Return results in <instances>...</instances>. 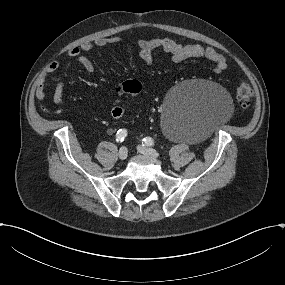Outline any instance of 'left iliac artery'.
I'll list each match as a JSON object with an SVG mask.
<instances>
[{
	"mask_svg": "<svg viewBox=\"0 0 285 285\" xmlns=\"http://www.w3.org/2000/svg\"><path fill=\"white\" fill-rule=\"evenodd\" d=\"M145 146H153L155 145L154 140L151 137H146L143 139Z\"/></svg>",
	"mask_w": 285,
	"mask_h": 285,
	"instance_id": "left-iliac-artery-1",
	"label": "left iliac artery"
}]
</instances>
